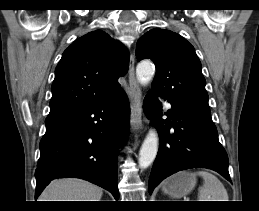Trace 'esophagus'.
Wrapping results in <instances>:
<instances>
[{"label":"esophagus","mask_w":259,"mask_h":211,"mask_svg":"<svg viewBox=\"0 0 259 211\" xmlns=\"http://www.w3.org/2000/svg\"><path fill=\"white\" fill-rule=\"evenodd\" d=\"M135 60L131 54L129 62L128 81L131 95V129L139 132L142 129V91L135 76Z\"/></svg>","instance_id":"34e87169"}]
</instances>
